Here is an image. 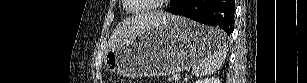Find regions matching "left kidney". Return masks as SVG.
Returning a JSON list of instances; mask_svg holds the SVG:
<instances>
[{
  "label": "left kidney",
  "instance_id": "left-kidney-1",
  "mask_svg": "<svg viewBox=\"0 0 307 83\" xmlns=\"http://www.w3.org/2000/svg\"><path fill=\"white\" fill-rule=\"evenodd\" d=\"M194 83H221L219 78L211 77L195 81Z\"/></svg>",
  "mask_w": 307,
  "mask_h": 83
}]
</instances>
